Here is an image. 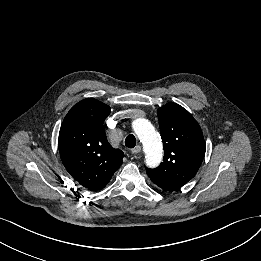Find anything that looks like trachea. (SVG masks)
<instances>
[{"mask_svg":"<svg viewBox=\"0 0 261 261\" xmlns=\"http://www.w3.org/2000/svg\"><path fill=\"white\" fill-rule=\"evenodd\" d=\"M125 145L128 147V148H133L136 146V138L134 135L130 134L126 137L125 139Z\"/></svg>","mask_w":261,"mask_h":261,"instance_id":"3493384b","label":"trachea"}]
</instances>
